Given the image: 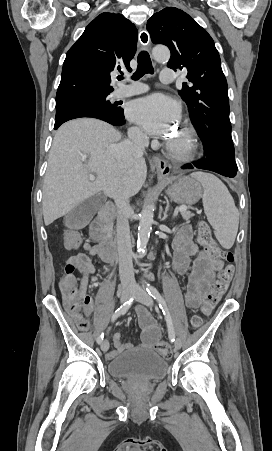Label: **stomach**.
<instances>
[{
	"mask_svg": "<svg viewBox=\"0 0 272 451\" xmlns=\"http://www.w3.org/2000/svg\"><path fill=\"white\" fill-rule=\"evenodd\" d=\"M158 180L160 182H167V180H174V178H162L158 174ZM167 196L177 202V204H196L202 198V188L199 182L189 178V176H181V178H175L174 184L166 190Z\"/></svg>",
	"mask_w": 272,
	"mask_h": 451,
	"instance_id": "1",
	"label": "stomach"
}]
</instances>
